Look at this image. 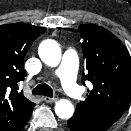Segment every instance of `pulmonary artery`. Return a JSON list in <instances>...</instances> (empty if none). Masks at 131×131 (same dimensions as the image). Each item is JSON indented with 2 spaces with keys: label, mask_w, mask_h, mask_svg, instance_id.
<instances>
[{
  "label": "pulmonary artery",
  "mask_w": 131,
  "mask_h": 131,
  "mask_svg": "<svg viewBox=\"0 0 131 131\" xmlns=\"http://www.w3.org/2000/svg\"><path fill=\"white\" fill-rule=\"evenodd\" d=\"M77 69L78 57L76 52L72 50L65 51L56 74L60 78L66 93L74 100H78L81 97V89L76 82Z\"/></svg>",
  "instance_id": "pulmonary-artery-1"
}]
</instances>
